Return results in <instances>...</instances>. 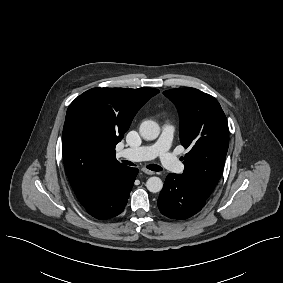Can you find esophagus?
<instances>
[{
  "mask_svg": "<svg viewBox=\"0 0 283 283\" xmlns=\"http://www.w3.org/2000/svg\"><path fill=\"white\" fill-rule=\"evenodd\" d=\"M141 170H142L145 174H148V175H153V174H154L153 171L148 170V169H146V168H142Z\"/></svg>",
  "mask_w": 283,
  "mask_h": 283,
  "instance_id": "34e87169",
  "label": "esophagus"
}]
</instances>
